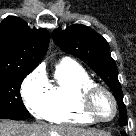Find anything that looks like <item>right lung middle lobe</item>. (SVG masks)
I'll return each instance as SVG.
<instances>
[{"label":"right lung middle lobe","instance_id":"1","mask_svg":"<svg viewBox=\"0 0 136 136\" xmlns=\"http://www.w3.org/2000/svg\"><path fill=\"white\" fill-rule=\"evenodd\" d=\"M30 72H0V119L23 120L29 117L22 103L20 86Z\"/></svg>","mask_w":136,"mask_h":136}]
</instances>
